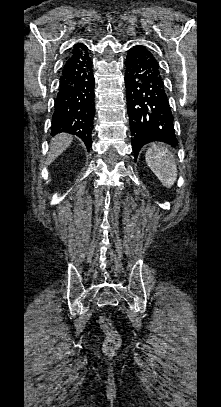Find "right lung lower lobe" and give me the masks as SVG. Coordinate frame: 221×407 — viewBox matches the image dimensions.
Instances as JSON below:
<instances>
[{
  "label": "right lung lower lobe",
  "mask_w": 221,
  "mask_h": 407,
  "mask_svg": "<svg viewBox=\"0 0 221 407\" xmlns=\"http://www.w3.org/2000/svg\"><path fill=\"white\" fill-rule=\"evenodd\" d=\"M88 48L82 44L67 57L59 81L52 116V135L67 132L80 137L87 149L92 145L95 114L94 75Z\"/></svg>",
  "instance_id": "98d812e1"
}]
</instances>
